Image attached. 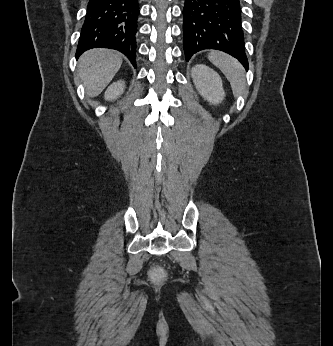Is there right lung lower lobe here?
Listing matches in <instances>:
<instances>
[{"label":"right lung lower lobe","instance_id":"obj_1","mask_svg":"<svg viewBox=\"0 0 333 346\" xmlns=\"http://www.w3.org/2000/svg\"><path fill=\"white\" fill-rule=\"evenodd\" d=\"M138 0H89L76 51L78 58L91 48L122 52L136 67Z\"/></svg>","mask_w":333,"mask_h":346}]
</instances>
